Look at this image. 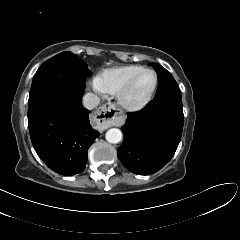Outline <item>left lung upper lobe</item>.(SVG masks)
Here are the masks:
<instances>
[{"label":"left lung upper lobe","instance_id":"5c2ea615","mask_svg":"<svg viewBox=\"0 0 240 240\" xmlns=\"http://www.w3.org/2000/svg\"><path fill=\"white\" fill-rule=\"evenodd\" d=\"M158 73L159 85L154 98L163 96H181L179 87L169 71L158 63L152 64Z\"/></svg>","mask_w":240,"mask_h":240}]
</instances>
